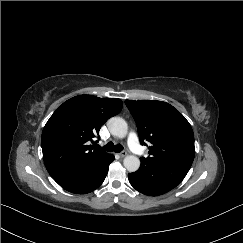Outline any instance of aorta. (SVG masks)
<instances>
[{
	"label": "aorta",
	"mask_w": 243,
	"mask_h": 243,
	"mask_svg": "<svg viewBox=\"0 0 243 243\" xmlns=\"http://www.w3.org/2000/svg\"><path fill=\"white\" fill-rule=\"evenodd\" d=\"M109 131L113 136L124 138L128 132L126 121L121 117H112L107 121ZM123 165L129 172H135L140 167V160L137 156L128 155L123 160Z\"/></svg>",
	"instance_id": "aorta-1"
}]
</instances>
